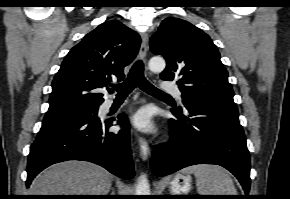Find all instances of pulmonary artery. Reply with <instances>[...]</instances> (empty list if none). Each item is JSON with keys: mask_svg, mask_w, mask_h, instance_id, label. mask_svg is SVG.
<instances>
[{"mask_svg": "<svg viewBox=\"0 0 290 199\" xmlns=\"http://www.w3.org/2000/svg\"><path fill=\"white\" fill-rule=\"evenodd\" d=\"M161 88L165 92L173 93V94H175L178 97L181 96V93H180L179 89L172 82H163L162 85H161ZM112 102H113L112 100H107L106 103H105V107H110L112 105Z\"/></svg>", "mask_w": 290, "mask_h": 199, "instance_id": "pulmonary-artery-1", "label": "pulmonary artery"}]
</instances>
